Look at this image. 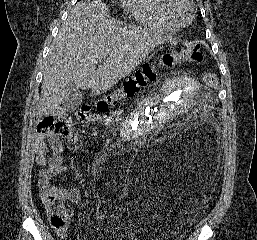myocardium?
<instances>
[{"instance_id": "obj_1", "label": "myocardium", "mask_w": 257, "mask_h": 240, "mask_svg": "<svg viewBox=\"0 0 257 240\" xmlns=\"http://www.w3.org/2000/svg\"><path fill=\"white\" fill-rule=\"evenodd\" d=\"M163 1H164V13H165L166 17L168 18V20L172 24H174L176 27H185L193 21L195 14H196V5L193 2V0H163ZM177 1L186 2L191 8L190 16H189L188 20L185 22L179 21L173 14L172 7H173V4L176 3Z\"/></svg>"}]
</instances>
